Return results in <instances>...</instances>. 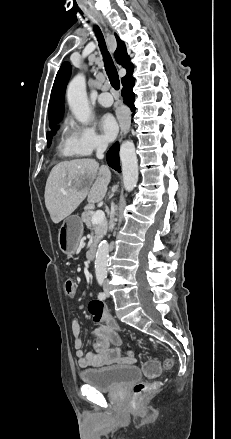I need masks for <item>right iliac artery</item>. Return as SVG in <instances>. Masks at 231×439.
<instances>
[{"label": "right iliac artery", "instance_id": "obj_1", "mask_svg": "<svg viewBox=\"0 0 231 439\" xmlns=\"http://www.w3.org/2000/svg\"><path fill=\"white\" fill-rule=\"evenodd\" d=\"M98 282L101 285L103 283V279H99ZM98 298L100 300H104L106 298V294L104 292H100L99 295H98Z\"/></svg>", "mask_w": 231, "mask_h": 439}]
</instances>
